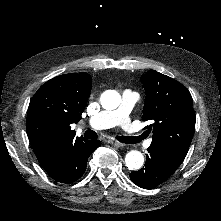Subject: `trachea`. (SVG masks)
Returning a JSON list of instances; mask_svg holds the SVG:
<instances>
[{"label": "trachea", "mask_w": 221, "mask_h": 221, "mask_svg": "<svg viewBox=\"0 0 221 221\" xmlns=\"http://www.w3.org/2000/svg\"><path fill=\"white\" fill-rule=\"evenodd\" d=\"M84 137L87 139L95 140L98 138V134L93 130H86L84 133ZM116 139L122 143L126 144H135L139 143L142 139L140 136L134 137V136H116Z\"/></svg>", "instance_id": "3493384b"}]
</instances>
